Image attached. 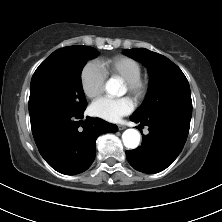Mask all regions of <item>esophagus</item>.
I'll list each match as a JSON object with an SVG mask.
<instances>
[{
    "instance_id": "34e87169",
    "label": "esophagus",
    "mask_w": 222,
    "mask_h": 222,
    "mask_svg": "<svg viewBox=\"0 0 222 222\" xmlns=\"http://www.w3.org/2000/svg\"><path fill=\"white\" fill-rule=\"evenodd\" d=\"M118 126V129L119 130H124L126 127L124 126V125H121V124H119V125H117Z\"/></svg>"
}]
</instances>
